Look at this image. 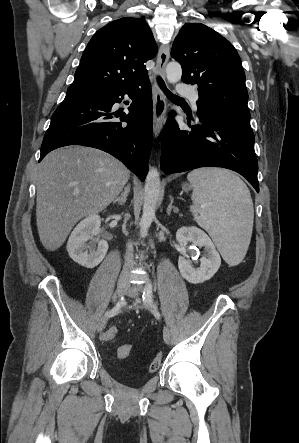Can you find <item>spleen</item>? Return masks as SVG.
<instances>
[{
    "label": "spleen",
    "mask_w": 299,
    "mask_h": 443,
    "mask_svg": "<svg viewBox=\"0 0 299 443\" xmlns=\"http://www.w3.org/2000/svg\"><path fill=\"white\" fill-rule=\"evenodd\" d=\"M187 178L194 187V219L209 233L224 260L238 265L253 228L254 209L247 186L234 173L220 168L193 170Z\"/></svg>",
    "instance_id": "spleen-1"
}]
</instances>
